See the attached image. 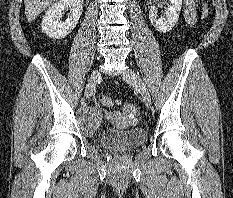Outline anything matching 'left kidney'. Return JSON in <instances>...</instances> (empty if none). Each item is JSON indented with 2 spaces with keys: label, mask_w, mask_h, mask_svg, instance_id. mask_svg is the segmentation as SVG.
I'll list each match as a JSON object with an SVG mask.
<instances>
[{
  "label": "left kidney",
  "mask_w": 233,
  "mask_h": 198,
  "mask_svg": "<svg viewBox=\"0 0 233 198\" xmlns=\"http://www.w3.org/2000/svg\"><path fill=\"white\" fill-rule=\"evenodd\" d=\"M169 2L170 4L166 8L165 17L158 18L157 10L155 8H151L149 11V18L152 25L157 31L162 33L172 30V28L176 25L182 7V0H169Z\"/></svg>",
  "instance_id": "5707ae66"
}]
</instances>
